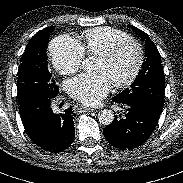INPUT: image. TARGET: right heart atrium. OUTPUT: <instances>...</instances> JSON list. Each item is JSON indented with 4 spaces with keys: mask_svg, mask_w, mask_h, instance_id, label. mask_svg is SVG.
I'll use <instances>...</instances> for the list:
<instances>
[{
    "mask_svg": "<svg viewBox=\"0 0 183 183\" xmlns=\"http://www.w3.org/2000/svg\"><path fill=\"white\" fill-rule=\"evenodd\" d=\"M54 68L62 75H72L81 68L84 51L81 44L69 35H60L50 44Z\"/></svg>",
    "mask_w": 183,
    "mask_h": 183,
    "instance_id": "d8ad5b80",
    "label": "right heart atrium"
}]
</instances>
